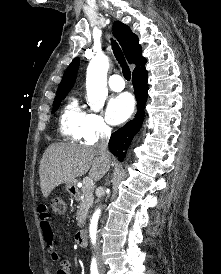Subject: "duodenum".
<instances>
[{
  "label": "duodenum",
  "mask_w": 221,
  "mask_h": 274,
  "mask_svg": "<svg viewBox=\"0 0 221 274\" xmlns=\"http://www.w3.org/2000/svg\"><path fill=\"white\" fill-rule=\"evenodd\" d=\"M74 195H77V189L72 190ZM87 231L85 229H81L76 234V242L80 247H85L87 245Z\"/></svg>",
  "instance_id": "1"
}]
</instances>
